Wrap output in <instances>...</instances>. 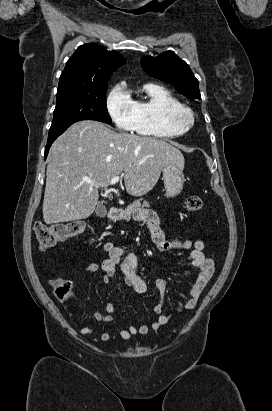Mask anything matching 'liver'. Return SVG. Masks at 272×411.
I'll return each mask as SVG.
<instances>
[{
    "label": "liver",
    "instance_id": "6515ba94",
    "mask_svg": "<svg viewBox=\"0 0 272 411\" xmlns=\"http://www.w3.org/2000/svg\"><path fill=\"white\" fill-rule=\"evenodd\" d=\"M169 163L183 169L185 160L179 149L164 140L116 133L96 121L74 123L50 149L44 222L88 218L98 203V188L120 174L127 193L142 196L157 184L162 167Z\"/></svg>",
    "mask_w": 272,
    "mask_h": 411
}]
</instances>
